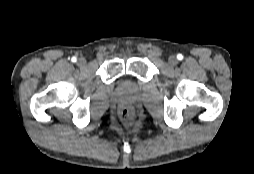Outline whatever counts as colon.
Wrapping results in <instances>:
<instances>
[{
    "instance_id": "obj_1",
    "label": "colon",
    "mask_w": 254,
    "mask_h": 174,
    "mask_svg": "<svg viewBox=\"0 0 254 174\" xmlns=\"http://www.w3.org/2000/svg\"><path fill=\"white\" fill-rule=\"evenodd\" d=\"M120 119L125 126L130 127L135 122V115L130 108H124L120 112Z\"/></svg>"
}]
</instances>
